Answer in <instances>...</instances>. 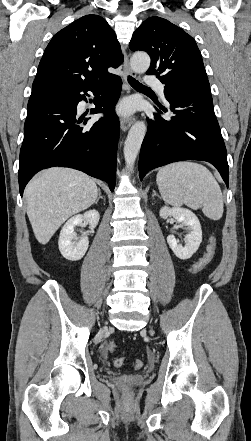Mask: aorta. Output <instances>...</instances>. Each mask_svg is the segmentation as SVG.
<instances>
[{
	"label": "aorta",
	"instance_id": "obj_1",
	"mask_svg": "<svg viewBox=\"0 0 251 441\" xmlns=\"http://www.w3.org/2000/svg\"><path fill=\"white\" fill-rule=\"evenodd\" d=\"M131 68L136 73H144L150 66V57L146 53H135L130 60ZM146 133L143 121H137L129 130L124 144V158L127 169L132 171L142 141Z\"/></svg>",
	"mask_w": 251,
	"mask_h": 441
}]
</instances>
